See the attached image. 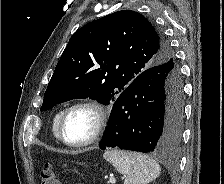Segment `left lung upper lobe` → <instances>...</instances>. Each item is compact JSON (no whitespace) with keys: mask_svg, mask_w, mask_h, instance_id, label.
Instances as JSON below:
<instances>
[{"mask_svg":"<svg viewBox=\"0 0 224 184\" xmlns=\"http://www.w3.org/2000/svg\"><path fill=\"white\" fill-rule=\"evenodd\" d=\"M170 61L179 70L169 44L148 19L131 10L114 12L73 34L40 110L77 98L108 105L143 71Z\"/></svg>","mask_w":224,"mask_h":184,"instance_id":"obj_1","label":"left lung upper lobe"}]
</instances>
